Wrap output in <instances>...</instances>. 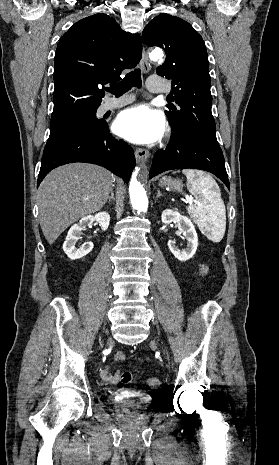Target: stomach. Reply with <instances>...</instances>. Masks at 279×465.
<instances>
[{"label":"stomach","mask_w":279,"mask_h":465,"mask_svg":"<svg viewBox=\"0 0 279 465\" xmlns=\"http://www.w3.org/2000/svg\"><path fill=\"white\" fill-rule=\"evenodd\" d=\"M160 185L164 187H169L172 190L180 191L182 188V183L180 180L172 179L169 177H163L160 180Z\"/></svg>","instance_id":"obj_1"}]
</instances>
